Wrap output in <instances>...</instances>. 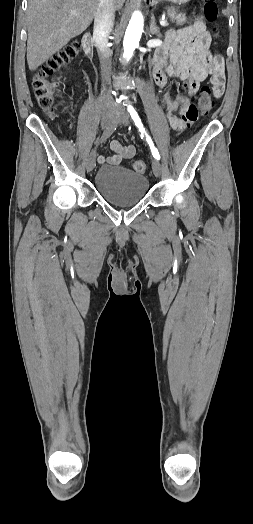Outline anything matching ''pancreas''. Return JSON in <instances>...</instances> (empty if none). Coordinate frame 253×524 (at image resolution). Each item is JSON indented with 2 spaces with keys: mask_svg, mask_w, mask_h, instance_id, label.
I'll use <instances>...</instances> for the list:
<instances>
[{
  "mask_svg": "<svg viewBox=\"0 0 253 524\" xmlns=\"http://www.w3.org/2000/svg\"><path fill=\"white\" fill-rule=\"evenodd\" d=\"M167 15L176 25H184L187 22L186 14L178 11L175 7L167 8Z\"/></svg>",
  "mask_w": 253,
  "mask_h": 524,
  "instance_id": "1",
  "label": "pancreas"
}]
</instances>
